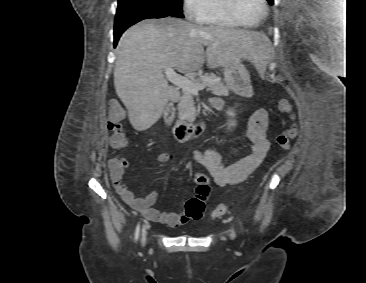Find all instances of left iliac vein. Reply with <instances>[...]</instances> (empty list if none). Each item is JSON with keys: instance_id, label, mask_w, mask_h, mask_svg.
I'll list each match as a JSON object with an SVG mask.
<instances>
[{"instance_id": "obj_1", "label": "left iliac vein", "mask_w": 366, "mask_h": 283, "mask_svg": "<svg viewBox=\"0 0 366 283\" xmlns=\"http://www.w3.org/2000/svg\"><path fill=\"white\" fill-rule=\"evenodd\" d=\"M230 237L233 239L235 237V233L233 230H231V234H230Z\"/></svg>"}]
</instances>
